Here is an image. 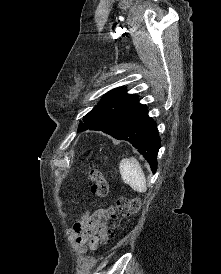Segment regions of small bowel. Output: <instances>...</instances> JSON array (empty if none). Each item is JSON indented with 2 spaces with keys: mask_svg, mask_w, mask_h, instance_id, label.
<instances>
[{
  "mask_svg": "<svg viewBox=\"0 0 221 274\" xmlns=\"http://www.w3.org/2000/svg\"><path fill=\"white\" fill-rule=\"evenodd\" d=\"M105 212L106 210L100 209L94 213H87L74 223L71 229V238L79 253H85L88 250L94 251L97 249L99 230Z\"/></svg>",
  "mask_w": 221,
  "mask_h": 274,
  "instance_id": "small-bowel-1",
  "label": "small bowel"
}]
</instances>
